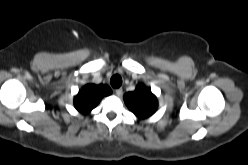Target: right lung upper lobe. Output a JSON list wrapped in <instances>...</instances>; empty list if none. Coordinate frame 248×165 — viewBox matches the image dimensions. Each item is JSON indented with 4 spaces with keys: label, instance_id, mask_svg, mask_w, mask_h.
Instances as JSON below:
<instances>
[{
    "label": "right lung upper lobe",
    "instance_id": "1",
    "mask_svg": "<svg viewBox=\"0 0 248 165\" xmlns=\"http://www.w3.org/2000/svg\"><path fill=\"white\" fill-rule=\"evenodd\" d=\"M110 94L111 89L106 85L87 84L74 98V106L79 112L88 114L104 96Z\"/></svg>",
    "mask_w": 248,
    "mask_h": 165
}]
</instances>
